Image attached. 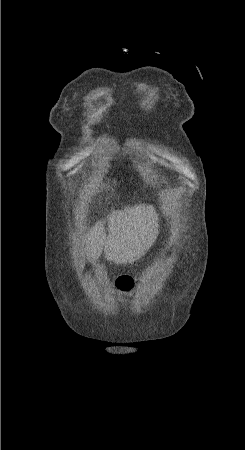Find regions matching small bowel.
Listing matches in <instances>:
<instances>
[{
  "instance_id": "obj_1",
  "label": "small bowel",
  "mask_w": 245,
  "mask_h": 450,
  "mask_svg": "<svg viewBox=\"0 0 245 450\" xmlns=\"http://www.w3.org/2000/svg\"><path fill=\"white\" fill-rule=\"evenodd\" d=\"M125 278H127V276H125ZM123 297L127 296L126 292H122Z\"/></svg>"
}]
</instances>
